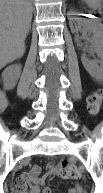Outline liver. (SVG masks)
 <instances>
[{
	"label": "liver",
	"instance_id": "1",
	"mask_svg": "<svg viewBox=\"0 0 103 193\" xmlns=\"http://www.w3.org/2000/svg\"><path fill=\"white\" fill-rule=\"evenodd\" d=\"M0 66L23 56L32 20L30 0H1Z\"/></svg>",
	"mask_w": 103,
	"mask_h": 193
}]
</instances>
